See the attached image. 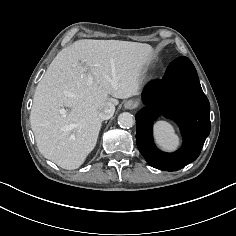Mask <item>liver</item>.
<instances>
[{"label": "liver", "mask_w": 236, "mask_h": 236, "mask_svg": "<svg viewBox=\"0 0 236 236\" xmlns=\"http://www.w3.org/2000/svg\"><path fill=\"white\" fill-rule=\"evenodd\" d=\"M151 57L149 45L129 41L84 39L63 48L33 98L30 122L40 153L63 169L79 168L96 146L100 110L138 94Z\"/></svg>", "instance_id": "liver-1"}]
</instances>
